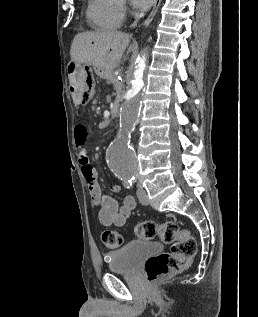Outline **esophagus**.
I'll return each instance as SVG.
<instances>
[{
  "mask_svg": "<svg viewBox=\"0 0 258 317\" xmlns=\"http://www.w3.org/2000/svg\"><path fill=\"white\" fill-rule=\"evenodd\" d=\"M160 2H161V0H155V4H154V7L152 9V12L150 13V15L147 17V19L143 23V27H147V25L152 21L154 15L156 14V12L158 10Z\"/></svg>",
  "mask_w": 258,
  "mask_h": 317,
  "instance_id": "esophagus-1",
  "label": "esophagus"
}]
</instances>
